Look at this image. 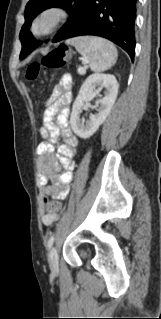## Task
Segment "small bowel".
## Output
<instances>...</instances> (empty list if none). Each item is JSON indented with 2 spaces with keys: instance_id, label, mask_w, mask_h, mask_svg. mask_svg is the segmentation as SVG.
Here are the masks:
<instances>
[{
  "instance_id": "obj_1",
  "label": "small bowel",
  "mask_w": 161,
  "mask_h": 319,
  "mask_svg": "<svg viewBox=\"0 0 161 319\" xmlns=\"http://www.w3.org/2000/svg\"><path fill=\"white\" fill-rule=\"evenodd\" d=\"M72 99L70 91V80L67 75H63L46 101V109L43 113V127L40 135L44 139L38 145L40 155L41 174L39 177L40 192L50 195L56 200H64L70 189L72 182L71 172L74 164L71 159L76 155L78 139L68 124L69 104ZM56 118V121L54 119ZM64 139V144L58 147L57 155L54 154V143L59 137ZM55 171H61L57 177ZM44 210V208L42 207ZM58 219V214L43 212L42 222L45 226L54 224Z\"/></svg>"
}]
</instances>
